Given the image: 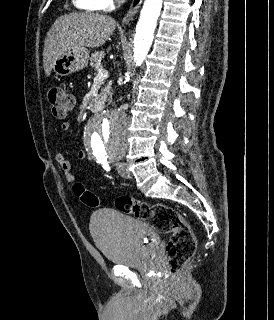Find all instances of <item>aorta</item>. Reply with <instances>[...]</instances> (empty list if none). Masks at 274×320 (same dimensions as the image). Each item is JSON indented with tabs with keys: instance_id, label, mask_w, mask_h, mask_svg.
Returning <instances> with one entry per match:
<instances>
[{
	"instance_id": "aorta-1",
	"label": "aorta",
	"mask_w": 274,
	"mask_h": 320,
	"mask_svg": "<svg viewBox=\"0 0 274 320\" xmlns=\"http://www.w3.org/2000/svg\"><path fill=\"white\" fill-rule=\"evenodd\" d=\"M163 0H145L136 25L134 37V62L140 66L145 60L160 15ZM128 121L120 110H110L94 118L86 130V144L89 154L101 159L121 158L127 150Z\"/></svg>"
}]
</instances>
